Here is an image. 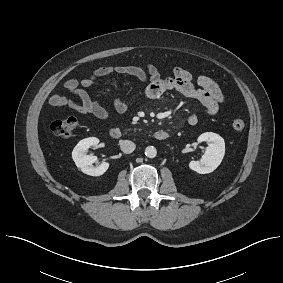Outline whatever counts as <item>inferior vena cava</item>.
<instances>
[{
  "label": "inferior vena cava",
  "instance_id": "602c4592",
  "mask_svg": "<svg viewBox=\"0 0 283 283\" xmlns=\"http://www.w3.org/2000/svg\"><path fill=\"white\" fill-rule=\"evenodd\" d=\"M120 148L124 153L129 154L135 150L136 145L130 140H122L120 142Z\"/></svg>",
  "mask_w": 283,
  "mask_h": 283
}]
</instances>
